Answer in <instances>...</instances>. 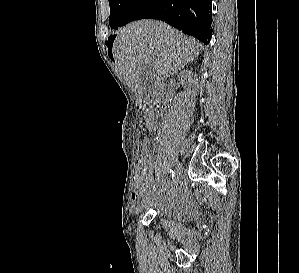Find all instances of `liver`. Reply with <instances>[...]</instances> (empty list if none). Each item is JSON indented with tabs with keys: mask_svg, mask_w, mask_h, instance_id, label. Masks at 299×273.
<instances>
[{
	"mask_svg": "<svg viewBox=\"0 0 299 273\" xmlns=\"http://www.w3.org/2000/svg\"><path fill=\"white\" fill-rule=\"evenodd\" d=\"M201 44L169 25L153 20H140L119 30L113 44L115 63L129 87L143 98L141 69L149 64L157 82L176 73L200 53Z\"/></svg>",
	"mask_w": 299,
	"mask_h": 273,
	"instance_id": "6515ba94",
	"label": "liver"
}]
</instances>
